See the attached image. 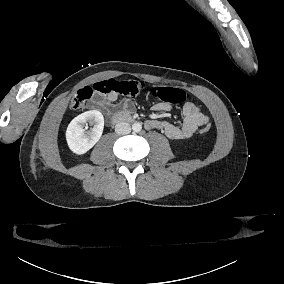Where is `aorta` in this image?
Masks as SVG:
<instances>
[{
	"instance_id": "obj_1",
	"label": "aorta",
	"mask_w": 284,
	"mask_h": 284,
	"mask_svg": "<svg viewBox=\"0 0 284 284\" xmlns=\"http://www.w3.org/2000/svg\"><path fill=\"white\" fill-rule=\"evenodd\" d=\"M132 130L134 132H140L142 130V125L140 123H134L132 125Z\"/></svg>"
}]
</instances>
